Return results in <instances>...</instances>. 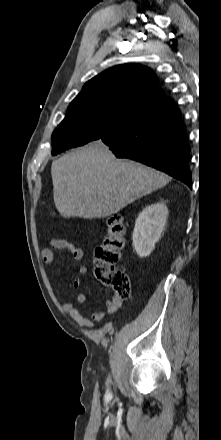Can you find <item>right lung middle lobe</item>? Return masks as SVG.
<instances>
[{
    "label": "right lung middle lobe",
    "mask_w": 221,
    "mask_h": 440,
    "mask_svg": "<svg viewBox=\"0 0 221 440\" xmlns=\"http://www.w3.org/2000/svg\"><path fill=\"white\" fill-rule=\"evenodd\" d=\"M133 112L109 101L72 102L52 134V155L100 139Z\"/></svg>",
    "instance_id": "dd1d6c3e"
}]
</instances>
